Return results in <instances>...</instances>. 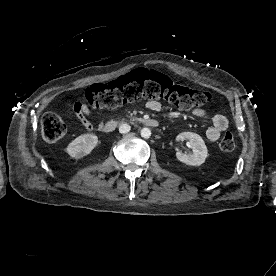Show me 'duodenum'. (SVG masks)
Wrapping results in <instances>:
<instances>
[{
    "label": "duodenum",
    "mask_w": 276,
    "mask_h": 276,
    "mask_svg": "<svg viewBox=\"0 0 276 276\" xmlns=\"http://www.w3.org/2000/svg\"><path fill=\"white\" fill-rule=\"evenodd\" d=\"M131 121L148 127L159 126L158 121L147 117H134ZM120 123L121 121L119 120H111L103 125L102 131L105 133H111L117 128Z\"/></svg>",
    "instance_id": "410a0bca"
}]
</instances>
